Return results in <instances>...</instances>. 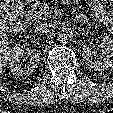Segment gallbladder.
Listing matches in <instances>:
<instances>
[{
	"mask_svg": "<svg viewBox=\"0 0 113 113\" xmlns=\"http://www.w3.org/2000/svg\"><path fill=\"white\" fill-rule=\"evenodd\" d=\"M15 1V0H12ZM6 0H0V7L4 8Z\"/></svg>",
	"mask_w": 113,
	"mask_h": 113,
	"instance_id": "bac80fb5",
	"label": "gallbladder"
}]
</instances>
